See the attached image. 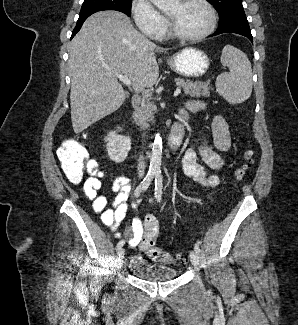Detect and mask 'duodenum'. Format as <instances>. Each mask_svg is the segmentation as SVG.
Masks as SVG:
<instances>
[{"label":"duodenum","mask_w":298,"mask_h":325,"mask_svg":"<svg viewBox=\"0 0 298 325\" xmlns=\"http://www.w3.org/2000/svg\"><path fill=\"white\" fill-rule=\"evenodd\" d=\"M140 104L139 98H134L132 100V105L134 108L138 107ZM198 110V107L193 104H187L181 108L179 113V120L172 126L169 133V144L172 148H176L181 143L184 135L185 123L187 121L188 115L191 112Z\"/></svg>","instance_id":"410a0bca"}]
</instances>
